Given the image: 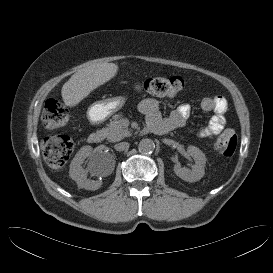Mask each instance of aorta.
Instances as JSON below:
<instances>
[{"label":"aorta","mask_w":273,"mask_h":273,"mask_svg":"<svg viewBox=\"0 0 273 273\" xmlns=\"http://www.w3.org/2000/svg\"><path fill=\"white\" fill-rule=\"evenodd\" d=\"M155 149V143L151 139H142L138 144V150L142 154H150Z\"/></svg>","instance_id":"aorta-1"}]
</instances>
